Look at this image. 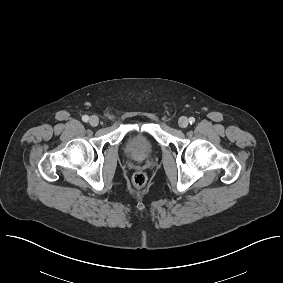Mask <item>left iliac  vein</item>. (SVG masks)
I'll return each mask as SVG.
<instances>
[{"mask_svg":"<svg viewBox=\"0 0 283 283\" xmlns=\"http://www.w3.org/2000/svg\"><path fill=\"white\" fill-rule=\"evenodd\" d=\"M178 124L181 128H186L189 124V121L186 117L183 116L179 119Z\"/></svg>","mask_w":283,"mask_h":283,"instance_id":"4c4485c4","label":"left iliac vein"}]
</instances>
